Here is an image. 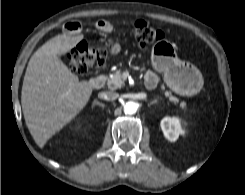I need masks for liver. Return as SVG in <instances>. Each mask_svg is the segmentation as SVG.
Masks as SVG:
<instances>
[{
  "label": "liver",
  "instance_id": "obj_1",
  "mask_svg": "<svg viewBox=\"0 0 245 195\" xmlns=\"http://www.w3.org/2000/svg\"><path fill=\"white\" fill-rule=\"evenodd\" d=\"M83 38L82 34L55 36L28 62L21 104L27 128L40 148L86 106L92 94L93 87L79 81L59 58Z\"/></svg>",
  "mask_w": 245,
  "mask_h": 195
}]
</instances>
